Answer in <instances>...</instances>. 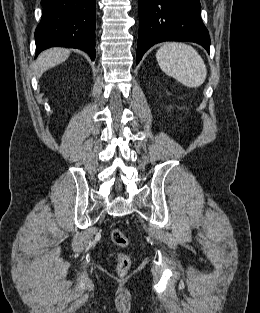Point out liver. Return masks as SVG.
<instances>
[{
    "label": "liver",
    "instance_id": "obj_1",
    "mask_svg": "<svg viewBox=\"0 0 260 313\" xmlns=\"http://www.w3.org/2000/svg\"><path fill=\"white\" fill-rule=\"evenodd\" d=\"M70 52L69 49L60 47L43 51L34 63V75L40 77L48 69L64 62L69 57Z\"/></svg>",
    "mask_w": 260,
    "mask_h": 313
}]
</instances>
